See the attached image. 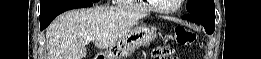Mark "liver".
<instances>
[{
  "label": "liver",
  "mask_w": 261,
  "mask_h": 59,
  "mask_svg": "<svg viewBox=\"0 0 261 59\" xmlns=\"http://www.w3.org/2000/svg\"><path fill=\"white\" fill-rule=\"evenodd\" d=\"M143 16L109 7L65 12L46 29L48 59H83L87 55L86 36L93 37L97 48H109Z\"/></svg>",
  "instance_id": "obj_1"
}]
</instances>
